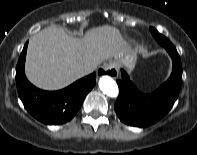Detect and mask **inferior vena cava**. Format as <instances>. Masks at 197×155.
I'll use <instances>...</instances> for the list:
<instances>
[{"label":"inferior vena cava","instance_id":"1","mask_svg":"<svg viewBox=\"0 0 197 155\" xmlns=\"http://www.w3.org/2000/svg\"><path fill=\"white\" fill-rule=\"evenodd\" d=\"M96 67L91 66V65H86L82 68V72L84 75L89 74L95 70Z\"/></svg>","mask_w":197,"mask_h":155}]
</instances>
